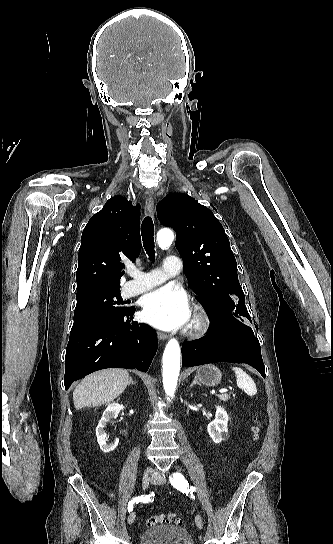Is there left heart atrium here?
Returning a JSON list of instances; mask_svg holds the SVG:
<instances>
[{
	"label": "left heart atrium",
	"instance_id": "1",
	"mask_svg": "<svg viewBox=\"0 0 333 544\" xmlns=\"http://www.w3.org/2000/svg\"><path fill=\"white\" fill-rule=\"evenodd\" d=\"M142 317L160 329L182 327L191 317L188 297L182 290L170 287L150 292L142 300Z\"/></svg>",
	"mask_w": 333,
	"mask_h": 544
}]
</instances>
